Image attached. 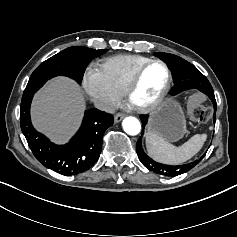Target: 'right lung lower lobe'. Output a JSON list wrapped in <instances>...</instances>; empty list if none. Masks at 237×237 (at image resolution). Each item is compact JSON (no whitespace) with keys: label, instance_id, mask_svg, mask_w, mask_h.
Returning a JSON list of instances; mask_svg holds the SVG:
<instances>
[{"label":"right lung lower lobe","instance_id":"right-lung-lower-lobe-1","mask_svg":"<svg viewBox=\"0 0 237 237\" xmlns=\"http://www.w3.org/2000/svg\"><path fill=\"white\" fill-rule=\"evenodd\" d=\"M33 95L22 97L20 122L22 132L35 157L49 169L67 176L91 168L100 156L103 135L113 124V116L95 108L87 110L77 134L68 144L59 146L50 142L32 126L30 105Z\"/></svg>","mask_w":237,"mask_h":237}]
</instances>
